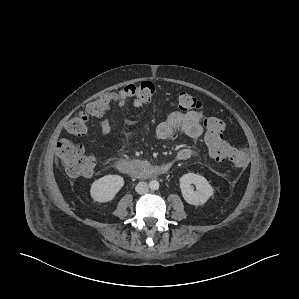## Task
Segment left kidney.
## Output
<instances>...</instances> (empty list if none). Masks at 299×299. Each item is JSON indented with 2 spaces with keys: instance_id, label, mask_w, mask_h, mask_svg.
Listing matches in <instances>:
<instances>
[{
  "instance_id": "5707ae66",
  "label": "left kidney",
  "mask_w": 299,
  "mask_h": 299,
  "mask_svg": "<svg viewBox=\"0 0 299 299\" xmlns=\"http://www.w3.org/2000/svg\"><path fill=\"white\" fill-rule=\"evenodd\" d=\"M180 189L184 200L191 205H203L213 195V188L207 179L194 173L184 174L180 179ZM196 186V191L192 186Z\"/></svg>"
}]
</instances>
